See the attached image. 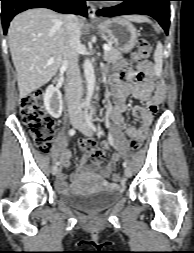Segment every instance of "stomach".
<instances>
[{"instance_id":"1","label":"stomach","mask_w":194,"mask_h":253,"mask_svg":"<svg viewBox=\"0 0 194 253\" xmlns=\"http://www.w3.org/2000/svg\"><path fill=\"white\" fill-rule=\"evenodd\" d=\"M97 28L120 52H130L137 42L138 32L135 27L122 17L106 19L98 23Z\"/></svg>"}]
</instances>
